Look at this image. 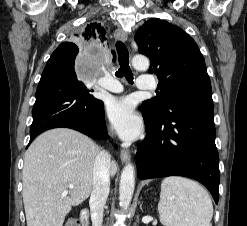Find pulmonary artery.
<instances>
[{
    "label": "pulmonary artery",
    "mask_w": 247,
    "mask_h": 226,
    "mask_svg": "<svg viewBox=\"0 0 247 226\" xmlns=\"http://www.w3.org/2000/svg\"><path fill=\"white\" fill-rule=\"evenodd\" d=\"M100 85L113 93H120L123 91V86L122 84L112 78L111 76H106L100 83ZM156 87L155 81L152 77L150 76H140L137 80V88L141 90H152Z\"/></svg>",
    "instance_id": "1"
}]
</instances>
